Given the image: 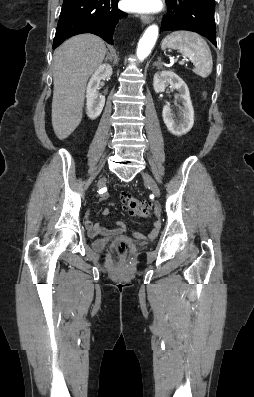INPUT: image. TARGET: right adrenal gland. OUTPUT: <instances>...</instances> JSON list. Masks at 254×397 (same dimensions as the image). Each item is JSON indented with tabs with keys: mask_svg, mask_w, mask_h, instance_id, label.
Segmentation results:
<instances>
[{
	"mask_svg": "<svg viewBox=\"0 0 254 397\" xmlns=\"http://www.w3.org/2000/svg\"><path fill=\"white\" fill-rule=\"evenodd\" d=\"M108 59H110V60H111V58L109 57V52L107 51V56H106V59H105V61H108Z\"/></svg>",
	"mask_w": 254,
	"mask_h": 397,
	"instance_id": "1",
	"label": "right adrenal gland"
}]
</instances>
